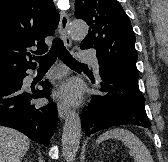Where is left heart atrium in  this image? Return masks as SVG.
Masks as SVG:
<instances>
[{"instance_id": "obj_1", "label": "left heart atrium", "mask_w": 168, "mask_h": 162, "mask_svg": "<svg viewBox=\"0 0 168 162\" xmlns=\"http://www.w3.org/2000/svg\"><path fill=\"white\" fill-rule=\"evenodd\" d=\"M80 95L77 84L71 82L66 84L59 92V96L64 100H76Z\"/></svg>"}]
</instances>
